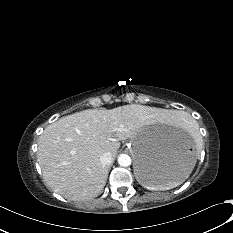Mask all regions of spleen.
I'll return each mask as SVG.
<instances>
[{
  "mask_svg": "<svg viewBox=\"0 0 233 233\" xmlns=\"http://www.w3.org/2000/svg\"><path fill=\"white\" fill-rule=\"evenodd\" d=\"M175 124L178 127L184 128L187 131L193 130V129H195L197 127V124L190 117H188V116H180V117H178L175 120ZM187 178H188V176L185 179H187ZM183 181L178 182V183H172V184L165 185V186H159V187L153 188V189L154 190H166V189L174 188V187L178 186L179 184H181Z\"/></svg>",
  "mask_w": 233,
  "mask_h": 233,
  "instance_id": "spleen-1",
  "label": "spleen"
}]
</instances>
